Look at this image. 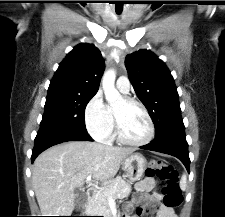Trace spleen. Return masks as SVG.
<instances>
[{
    "instance_id": "3e777b00",
    "label": "spleen",
    "mask_w": 225,
    "mask_h": 217,
    "mask_svg": "<svg viewBox=\"0 0 225 217\" xmlns=\"http://www.w3.org/2000/svg\"><path fill=\"white\" fill-rule=\"evenodd\" d=\"M186 185H187V177L185 174H183V176L181 177V180H180V188L182 190H185L186 189Z\"/></svg>"
}]
</instances>
